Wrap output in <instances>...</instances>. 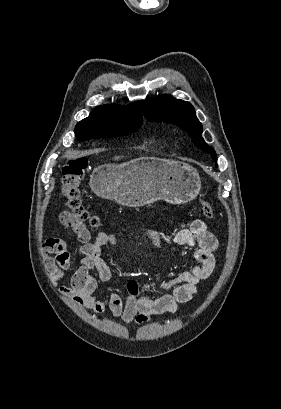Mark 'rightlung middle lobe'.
I'll return each instance as SVG.
<instances>
[{"label":"right lung middle lobe","mask_w":281,"mask_h":409,"mask_svg":"<svg viewBox=\"0 0 281 409\" xmlns=\"http://www.w3.org/2000/svg\"><path fill=\"white\" fill-rule=\"evenodd\" d=\"M140 127L141 125L129 127H80L75 128V134L80 140L101 137H118L122 135H129L138 130Z\"/></svg>","instance_id":"dd1d6c3e"}]
</instances>
